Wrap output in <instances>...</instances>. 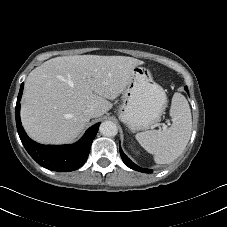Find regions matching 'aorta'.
Here are the masks:
<instances>
[{"mask_svg":"<svg viewBox=\"0 0 227 227\" xmlns=\"http://www.w3.org/2000/svg\"><path fill=\"white\" fill-rule=\"evenodd\" d=\"M99 131L107 137H114L118 133L117 125L112 121H104L101 123Z\"/></svg>","mask_w":227,"mask_h":227,"instance_id":"obj_1","label":"aorta"}]
</instances>
